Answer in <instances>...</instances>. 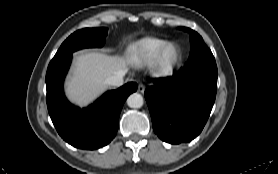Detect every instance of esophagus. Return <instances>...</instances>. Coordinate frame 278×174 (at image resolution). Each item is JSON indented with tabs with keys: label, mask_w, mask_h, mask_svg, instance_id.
I'll use <instances>...</instances> for the list:
<instances>
[{
	"label": "esophagus",
	"mask_w": 278,
	"mask_h": 174,
	"mask_svg": "<svg viewBox=\"0 0 278 174\" xmlns=\"http://www.w3.org/2000/svg\"><path fill=\"white\" fill-rule=\"evenodd\" d=\"M138 92H140V93H143L144 91H145V85L144 84H142V83H140L139 85H138Z\"/></svg>",
	"instance_id": "obj_1"
}]
</instances>
